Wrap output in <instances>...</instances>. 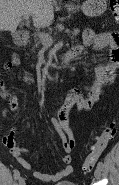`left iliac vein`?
<instances>
[{"label":"left iliac vein","mask_w":119,"mask_h":185,"mask_svg":"<svg viewBox=\"0 0 119 185\" xmlns=\"http://www.w3.org/2000/svg\"><path fill=\"white\" fill-rule=\"evenodd\" d=\"M101 175H102V169L97 167L95 169V172H94V176L97 180H99L101 178Z\"/></svg>","instance_id":"1"}]
</instances>
